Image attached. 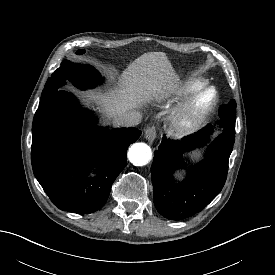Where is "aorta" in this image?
<instances>
[{
  "label": "aorta",
  "mask_w": 275,
  "mask_h": 275,
  "mask_svg": "<svg viewBox=\"0 0 275 275\" xmlns=\"http://www.w3.org/2000/svg\"><path fill=\"white\" fill-rule=\"evenodd\" d=\"M151 158V148L145 143H135L129 148L128 159L136 166L147 164Z\"/></svg>",
  "instance_id": "762f6f07"
}]
</instances>
